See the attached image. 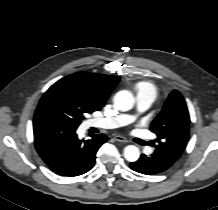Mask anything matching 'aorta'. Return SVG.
<instances>
[{"label": "aorta", "mask_w": 218, "mask_h": 210, "mask_svg": "<svg viewBox=\"0 0 218 210\" xmlns=\"http://www.w3.org/2000/svg\"><path fill=\"white\" fill-rule=\"evenodd\" d=\"M114 105L118 110L128 111L134 105L133 95L127 91H119L114 96ZM124 157L129 162H135L140 157L139 148L134 145H128L124 148Z\"/></svg>", "instance_id": "762f6f07"}]
</instances>
